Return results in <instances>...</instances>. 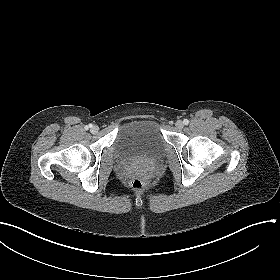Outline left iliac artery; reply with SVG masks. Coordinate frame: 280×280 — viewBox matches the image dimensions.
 I'll list each match as a JSON object with an SVG mask.
<instances>
[{"label":"left iliac artery","instance_id":"1","mask_svg":"<svg viewBox=\"0 0 280 280\" xmlns=\"http://www.w3.org/2000/svg\"><path fill=\"white\" fill-rule=\"evenodd\" d=\"M183 124H184V125H188V124H189V120H188V119H184V120H183Z\"/></svg>","mask_w":280,"mask_h":280}]
</instances>
